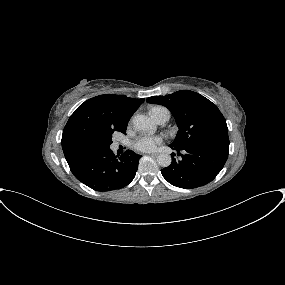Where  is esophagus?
Listing matches in <instances>:
<instances>
[{
	"label": "esophagus",
	"instance_id": "34e87169",
	"mask_svg": "<svg viewBox=\"0 0 285 285\" xmlns=\"http://www.w3.org/2000/svg\"><path fill=\"white\" fill-rule=\"evenodd\" d=\"M147 155L152 156V157H155V156L158 155V153H148Z\"/></svg>",
	"mask_w": 285,
	"mask_h": 285
}]
</instances>
